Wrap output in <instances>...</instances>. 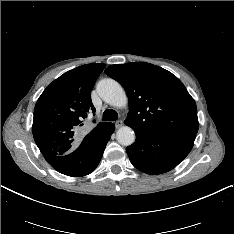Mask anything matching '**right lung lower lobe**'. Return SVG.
<instances>
[{
    "instance_id": "right-lung-lower-lobe-1",
    "label": "right lung lower lobe",
    "mask_w": 234,
    "mask_h": 234,
    "mask_svg": "<svg viewBox=\"0 0 234 234\" xmlns=\"http://www.w3.org/2000/svg\"><path fill=\"white\" fill-rule=\"evenodd\" d=\"M114 129V124L105 123L93 129L70 153L44 157L54 169L62 174L72 177L85 176L99 164Z\"/></svg>"
}]
</instances>
